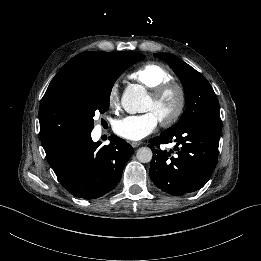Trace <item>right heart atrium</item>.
<instances>
[{"label":"right heart atrium","mask_w":261,"mask_h":261,"mask_svg":"<svg viewBox=\"0 0 261 261\" xmlns=\"http://www.w3.org/2000/svg\"><path fill=\"white\" fill-rule=\"evenodd\" d=\"M108 107L110 109L118 108L120 104V99L117 91V87L113 86L108 94Z\"/></svg>","instance_id":"obj_1"}]
</instances>
